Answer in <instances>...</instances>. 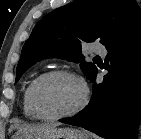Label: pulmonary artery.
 Masks as SVG:
<instances>
[{
	"label": "pulmonary artery",
	"mask_w": 141,
	"mask_h": 139,
	"mask_svg": "<svg viewBox=\"0 0 141 139\" xmlns=\"http://www.w3.org/2000/svg\"><path fill=\"white\" fill-rule=\"evenodd\" d=\"M91 50L94 52V53H98V54H106V49L104 46L102 45H93L91 47Z\"/></svg>",
	"instance_id": "obj_1"
}]
</instances>
